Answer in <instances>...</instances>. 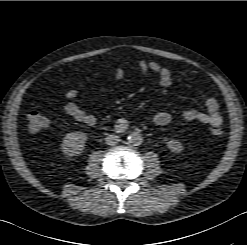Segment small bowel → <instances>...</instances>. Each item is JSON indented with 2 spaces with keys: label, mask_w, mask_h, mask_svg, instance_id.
<instances>
[{
  "label": "small bowel",
  "mask_w": 247,
  "mask_h": 245,
  "mask_svg": "<svg viewBox=\"0 0 247 245\" xmlns=\"http://www.w3.org/2000/svg\"><path fill=\"white\" fill-rule=\"evenodd\" d=\"M137 65L142 75L147 76L150 73H154L158 76L159 83L164 87H169L173 83L171 71L161 66L156 61L139 60ZM124 78V71L121 67L116 69L114 79L120 81ZM79 95L78 88H72L67 91L66 98L69 100L64 105L65 112L74 120L86 124L93 125L96 122V118L91 113L83 110L77 103L72 101ZM203 105L205 111H199L193 108L184 109L181 113L182 118L187 122L198 121L204 124H208L212 127H220L223 118L219 112V104L217 100L212 96H206L203 98ZM154 123L158 126L168 125L172 118L168 112H158L155 114Z\"/></svg>",
  "instance_id": "c3829d8e"
}]
</instances>
